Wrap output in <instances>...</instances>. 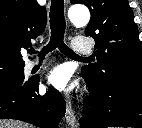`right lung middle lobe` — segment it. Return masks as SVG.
<instances>
[{
    "mask_svg": "<svg viewBox=\"0 0 142 128\" xmlns=\"http://www.w3.org/2000/svg\"><path fill=\"white\" fill-rule=\"evenodd\" d=\"M23 81H25L23 67L0 69V89L14 87Z\"/></svg>",
    "mask_w": 142,
    "mask_h": 128,
    "instance_id": "1",
    "label": "right lung middle lobe"
}]
</instances>
